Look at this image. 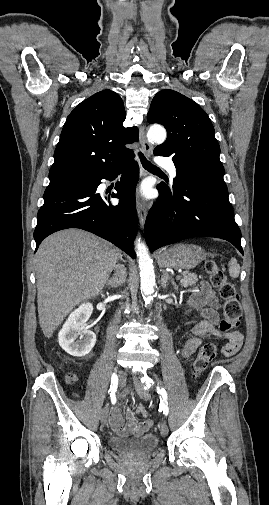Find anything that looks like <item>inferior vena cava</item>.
Instances as JSON below:
<instances>
[{"label": "inferior vena cava", "mask_w": 269, "mask_h": 505, "mask_svg": "<svg viewBox=\"0 0 269 505\" xmlns=\"http://www.w3.org/2000/svg\"><path fill=\"white\" fill-rule=\"evenodd\" d=\"M116 269H117V273H119V274H120L121 272H124V270H125V272H126V269L124 268V266H119V265H118V266L116 267Z\"/></svg>", "instance_id": "inferior-vena-cava-1"}]
</instances>
